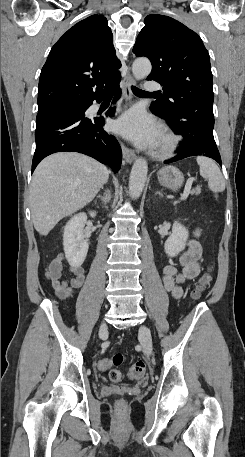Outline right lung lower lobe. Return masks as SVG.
<instances>
[{"label": "right lung lower lobe", "instance_id": "obj_1", "mask_svg": "<svg viewBox=\"0 0 245 457\" xmlns=\"http://www.w3.org/2000/svg\"><path fill=\"white\" fill-rule=\"evenodd\" d=\"M119 82L92 98L38 111L32 172L43 158L61 151L86 154L109 165L114 172L120 169L121 148L115 137L103 130L104 117H87L85 114L94 100H102L108 94H115V102L121 94ZM114 112L112 108L106 116L112 117Z\"/></svg>", "mask_w": 245, "mask_h": 457}]
</instances>
